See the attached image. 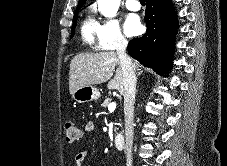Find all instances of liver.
I'll list each match as a JSON object with an SVG mask.
<instances>
[{
	"label": "liver",
	"mask_w": 227,
	"mask_h": 166,
	"mask_svg": "<svg viewBox=\"0 0 227 166\" xmlns=\"http://www.w3.org/2000/svg\"><path fill=\"white\" fill-rule=\"evenodd\" d=\"M133 65L135 69L140 66L136 61L133 62ZM115 67H117V70L112 78ZM107 81H109L108 89H116L120 94H123V71L114 51L81 53L71 60L69 71V91L71 95L80 87L98 85Z\"/></svg>",
	"instance_id": "1"
}]
</instances>
